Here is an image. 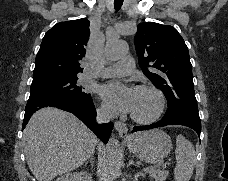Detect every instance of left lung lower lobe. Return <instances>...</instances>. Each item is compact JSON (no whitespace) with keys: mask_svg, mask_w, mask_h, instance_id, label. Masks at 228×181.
I'll return each instance as SVG.
<instances>
[{"mask_svg":"<svg viewBox=\"0 0 228 181\" xmlns=\"http://www.w3.org/2000/svg\"><path fill=\"white\" fill-rule=\"evenodd\" d=\"M167 125H184V126L190 127L194 131H196V133L200 137L201 126L190 125V124H179V123L178 124H176V123H165V122H162L161 120L159 122L154 123V124H151V125L135 126L133 128V131H143V130H148V129L158 128V127H163V126H167Z\"/></svg>","mask_w":228,"mask_h":181,"instance_id":"1","label":"left lung lower lobe"}]
</instances>
